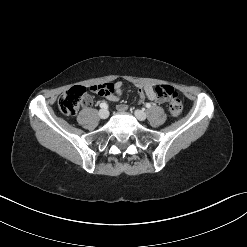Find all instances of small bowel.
Segmentation results:
<instances>
[{"instance_id": "obj_1", "label": "small bowel", "mask_w": 247, "mask_h": 247, "mask_svg": "<svg viewBox=\"0 0 247 247\" xmlns=\"http://www.w3.org/2000/svg\"><path fill=\"white\" fill-rule=\"evenodd\" d=\"M138 83V82H136ZM135 83V84H136ZM142 84V83H141ZM145 85H150V84H145ZM96 86V85H94ZM152 86V85H150ZM168 86V85H167ZM153 87V86H152ZM155 88V87H153ZM96 93H98L99 95L105 97L106 99H108L109 101H112V102H115V101H118L121 96H122V92H123V83L121 81H116L114 83H110L108 84V87L105 88L103 91H101L100 93L97 92V91H94ZM144 98H145V95H144ZM147 98V97H146ZM149 99V98H148ZM151 100V99H149ZM152 101H155V100H152ZM156 102V101H155ZM84 104L86 106H89L91 104V98L90 97H87L84 101ZM126 109V105L122 104L119 106V110L123 111Z\"/></svg>"}]
</instances>
